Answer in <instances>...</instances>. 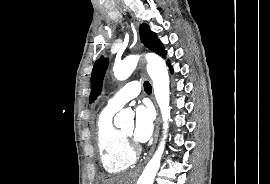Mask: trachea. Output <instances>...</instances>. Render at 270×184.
Returning a JSON list of instances; mask_svg holds the SVG:
<instances>
[{"mask_svg":"<svg viewBox=\"0 0 270 184\" xmlns=\"http://www.w3.org/2000/svg\"><path fill=\"white\" fill-rule=\"evenodd\" d=\"M144 90L147 93H150L151 92V85H150V83L148 81H145L144 82Z\"/></svg>","mask_w":270,"mask_h":184,"instance_id":"obj_1","label":"trachea"}]
</instances>
